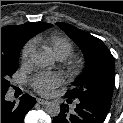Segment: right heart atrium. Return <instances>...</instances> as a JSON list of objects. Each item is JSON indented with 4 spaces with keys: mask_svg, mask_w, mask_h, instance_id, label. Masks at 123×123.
<instances>
[{
    "mask_svg": "<svg viewBox=\"0 0 123 123\" xmlns=\"http://www.w3.org/2000/svg\"><path fill=\"white\" fill-rule=\"evenodd\" d=\"M34 51V42L29 41L22 49L21 58L23 62H28Z\"/></svg>",
    "mask_w": 123,
    "mask_h": 123,
    "instance_id": "d8ad5b80",
    "label": "right heart atrium"
}]
</instances>
